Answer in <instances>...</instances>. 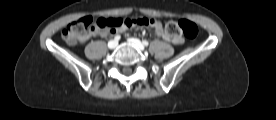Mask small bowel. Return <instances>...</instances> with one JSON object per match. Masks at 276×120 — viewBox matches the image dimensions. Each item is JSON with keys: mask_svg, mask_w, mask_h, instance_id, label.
<instances>
[{"mask_svg": "<svg viewBox=\"0 0 276 120\" xmlns=\"http://www.w3.org/2000/svg\"><path fill=\"white\" fill-rule=\"evenodd\" d=\"M151 27L154 29L157 36L163 38L164 40L171 42L173 44H181L183 42V39L180 36L171 37L169 36L163 29L162 24L160 21L154 19L151 23ZM124 28H121L119 31H123ZM96 34V33H94ZM94 34L87 35L82 41L88 40L91 36ZM101 36H106L107 32H100Z\"/></svg>", "mask_w": 276, "mask_h": 120, "instance_id": "small-bowel-1", "label": "small bowel"}]
</instances>
